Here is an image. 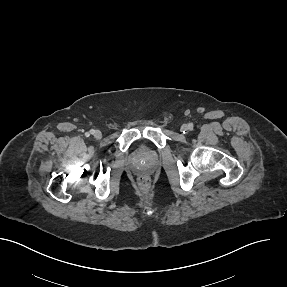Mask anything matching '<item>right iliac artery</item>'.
<instances>
[{"label": "right iliac artery", "mask_w": 287, "mask_h": 287, "mask_svg": "<svg viewBox=\"0 0 287 287\" xmlns=\"http://www.w3.org/2000/svg\"><path fill=\"white\" fill-rule=\"evenodd\" d=\"M90 133L91 134H93L94 133V130L92 129V130H90ZM90 133H86V136H89L90 135Z\"/></svg>", "instance_id": "obj_1"}]
</instances>
